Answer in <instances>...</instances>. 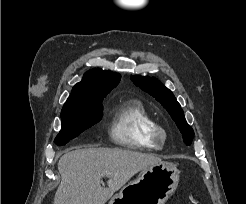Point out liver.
Returning <instances> with one entry per match:
<instances>
[{
	"mask_svg": "<svg viewBox=\"0 0 246 204\" xmlns=\"http://www.w3.org/2000/svg\"><path fill=\"white\" fill-rule=\"evenodd\" d=\"M158 163L161 159L153 154L125 149L68 151L58 162L61 183L53 204H105L136 173ZM103 177L109 178L106 188Z\"/></svg>",
	"mask_w": 246,
	"mask_h": 204,
	"instance_id": "liver-1",
	"label": "liver"
}]
</instances>
